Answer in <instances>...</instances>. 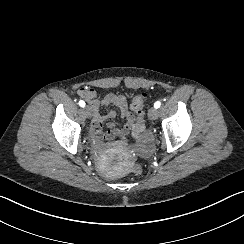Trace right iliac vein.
Masks as SVG:
<instances>
[{
    "label": "right iliac vein",
    "mask_w": 244,
    "mask_h": 244,
    "mask_svg": "<svg viewBox=\"0 0 244 244\" xmlns=\"http://www.w3.org/2000/svg\"><path fill=\"white\" fill-rule=\"evenodd\" d=\"M92 112H93V110H92V108H91L90 106H85V107L83 108V113H84L87 117H89V118H91V116H92Z\"/></svg>",
    "instance_id": "1"
}]
</instances>
